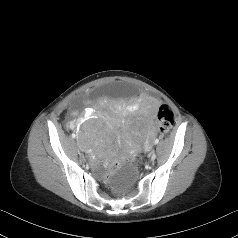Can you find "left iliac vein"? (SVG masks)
Here are the masks:
<instances>
[{"mask_svg":"<svg viewBox=\"0 0 238 238\" xmlns=\"http://www.w3.org/2000/svg\"><path fill=\"white\" fill-rule=\"evenodd\" d=\"M152 153H153V152H152ZM155 158H156V155H155V153L151 154L150 160H151V161H154V160H155Z\"/></svg>","mask_w":238,"mask_h":238,"instance_id":"left-iliac-vein-1","label":"left iliac vein"}]
</instances>
